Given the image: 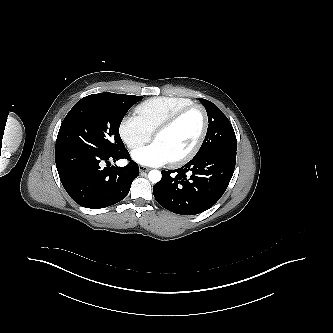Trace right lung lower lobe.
<instances>
[{
    "label": "right lung lower lobe",
    "mask_w": 333,
    "mask_h": 333,
    "mask_svg": "<svg viewBox=\"0 0 333 333\" xmlns=\"http://www.w3.org/2000/svg\"><path fill=\"white\" fill-rule=\"evenodd\" d=\"M122 158L130 160L127 166L108 167L111 161ZM55 162L69 196L91 209L108 207L124 199L139 175V167L126 148L108 155L80 146L56 145ZM104 162L107 167L101 168Z\"/></svg>",
    "instance_id": "right-lung-lower-lobe-1"
}]
</instances>
